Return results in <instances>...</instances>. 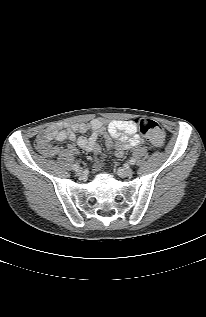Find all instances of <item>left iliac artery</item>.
Returning a JSON list of instances; mask_svg holds the SVG:
<instances>
[{"mask_svg":"<svg viewBox=\"0 0 206 317\" xmlns=\"http://www.w3.org/2000/svg\"><path fill=\"white\" fill-rule=\"evenodd\" d=\"M135 162H136L135 158H131V159L129 160V163H130L131 165H134Z\"/></svg>","mask_w":206,"mask_h":317,"instance_id":"1","label":"left iliac artery"}]
</instances>
